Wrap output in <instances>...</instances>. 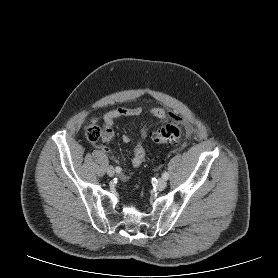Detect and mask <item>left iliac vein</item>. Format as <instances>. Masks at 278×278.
Returning a JSON list of instances; mask_svg holds the SVG:
<instances>
[{
	"instance_id": "1",
	"label": "left iliac vein",
	"mask_w": 278,
	"mask_h": 278,
	"mask_svg": "<svg viewBox=\"0 0 278 278\" xmlns=\"http://www.w3.org/2000/svg\"><path fill=\"white\" fill-rule=\"evenodd\" d=\"M166 186H167V182H166L165 179H163V178L158 179V181H157V188L159 190H163Z\"/></svg>"
}]
</instances>
